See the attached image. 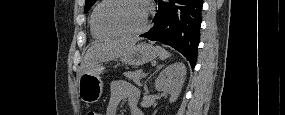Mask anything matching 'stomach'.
<instances>
[{"label": "stomach", "instance_id": "stomach-1", "mask_svg": "<svg viewBox=\"0 0 285 115\" xmlns=\"http://www.w3.org/2000/svg\"><path fill=\"white\" fill-rule=\"evenodd\" d=\"M157 56H159L157 48L150 44L139 43L121 56L120 60L131 66H141L154 60ZM104 70L105 67L100 63L79 77V97L83 102L93 104L100 99L103 92L101 74Z\"/></svg>", "mask_w": 285, "mask_h": 115}]
</instances>
